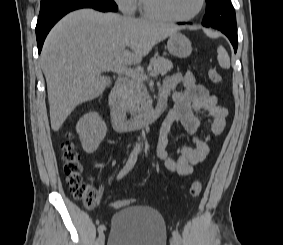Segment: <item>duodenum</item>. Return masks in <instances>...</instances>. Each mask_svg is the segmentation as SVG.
Wrapping results in <instances>:
<instances>
[{
	"mask_svg": "<svg viewBox=\"0 0 283 245\" xmlns=\"http://www.w3.org/2000/svg\"><path fill=\"white\" fill-rule=\"evenodd\" d=\"M122 83L117 82L109 95V108L112 126L118 131L141 128L153 123L166 107L167 98L160 93L156 105L144 113L126 117L121 105Z\"/></svg>",
	"mask_w": 283,
	"mask_h": 245,
	"instance_id": "410a0bca",
	"label": "duodenum"
}]
</instances>
